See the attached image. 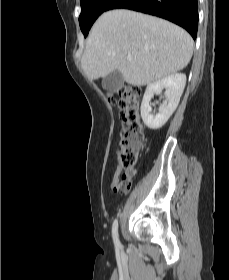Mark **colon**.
<instances>
[{
	"instance_id": "colon-1",
	"label": "colon",
	"mask_w": 229,
	"mask_h": 280,
	"mask_svg": "<svg viewBox=\"0 0 229 280\" xmlns=\"http://www.w3.org/2000/svg\"><path fill=\"white\" fill-rule=\"evenodd\" d=\"M122 129L116 152V161L124 172L112 188L117 192L129 191L132 185V170L135 167L139 151L143 145L144 134L140 121L142 90L133 85H125L118 91Z\"/></svg>"
}]
</instances>
